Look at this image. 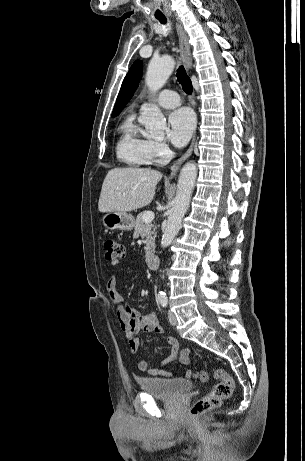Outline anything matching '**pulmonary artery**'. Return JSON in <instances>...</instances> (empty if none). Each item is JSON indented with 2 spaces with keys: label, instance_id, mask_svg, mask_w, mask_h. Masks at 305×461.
Segmentation results:
<instances>
[{
  "label": "pulmonary artery",
  "instance_id": "pulmonary-artery-1",
  "mask_svg": "<svg viewBox=\"0 0 305 461\" xmlns=\"http://www.w3.org/2000/svg\"><path fill=\"white\" fill-rule=\"evenodd\" d=\"M156 102L164 108H175L181 103L179 95L175 91L168 89L159 93Z\"/></svg>",
  "mask_w": 305,
  "mask_h": 461
}]
</instances>
